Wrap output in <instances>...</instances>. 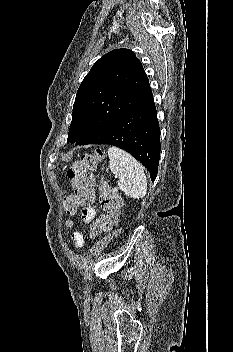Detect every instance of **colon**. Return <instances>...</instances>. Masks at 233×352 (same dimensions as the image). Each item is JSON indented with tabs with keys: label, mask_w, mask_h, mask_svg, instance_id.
<instances>
[{
	"label": "colon",
	"mask_w": 233,
	"mask_h": 352,
	"mask_svg": "<svg viewBox=\"0 0 233 352\" xmlns=\"http://www.w3.org/2000/svg\"><path fill=\"white\" fill-rule=\"evenodd\" d=\"M101 158V150L85 153L68 169L67 176L74 189V195L65 198L63 202L64 210L68 215H73L78 206L87 207L94 203V178L91 171L96 168ZM99 190L103 215L91 225L92 237L112 230L118 223L122 207L120 196L106 182L100 183Z\"/></svg>",
	"instance_id": "obj_1"
}]
</instances>
